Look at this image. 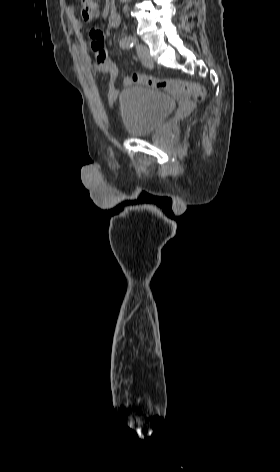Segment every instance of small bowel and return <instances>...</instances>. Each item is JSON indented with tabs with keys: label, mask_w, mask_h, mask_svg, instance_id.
Listing matches in <instances>:
<instances>
[{
	"label": "small bowel",
	"mask_w": 280,
	"mask_h": 472,
	"mask_svg": "<svg viewBox=\"0 0 280 472\" xmlns=\"http://www.w3.org/2000/svg\"><path fill=\"white\" fill-rule=\"evenodd\" d=\"M89 36L91 39V49L94 54V64H93V72L94 73H101L107 74L109 77V84H108V101L109 104L112 106L118 97V90L115 86L116 80L119 75V70L117 65L112 62L108 56L104 46L105 34L104 32L98 27H92L89 31ZM131 83L130 77H127L124 80V85H128Z\"/></svg>",
	"instance_id": "small-bowel-1"
}]
</instances>
